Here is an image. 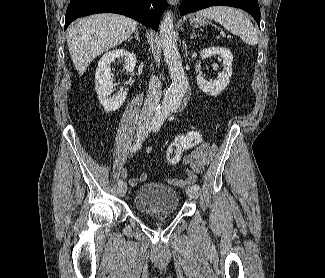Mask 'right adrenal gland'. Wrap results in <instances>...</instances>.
Segmentation results:
<instances>
[{
  "mask_svg": "<svg viewBox=\"0 0 325 278\" xmlns=\"http://www.w3.org/2000/svg\"><path fill=\"white\" fill-rule=\"evenodd\" d=\"M135 38L137 41L140 42V38H139V35H138V29L135 30L134 32V36L133 37H130L129 38V41H131V39Z\"/></svg>",
  "mask_w": 325,
  "mask_h": 278,
  "instance_id": "obj_1",
  "label": "right adrenal gland"
}]
</instances>
